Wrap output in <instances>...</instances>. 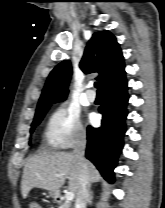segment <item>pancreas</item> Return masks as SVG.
Instances as JSON below:
<instances>
[{"mask_svg":"<svg viewBox=\"0 0 165 208\" xmlns=\"http://www.w3.org/2000/svg\"><path fill=\"white\" fill-rule=\"evenodd\" d=\"M59 208H71V205L69 202H64L59 206Z\"/></svg>","mask_w":165,"mask_h":208,"instance_id":"pancreas-1","label":"pancreas"}]
</instances>
